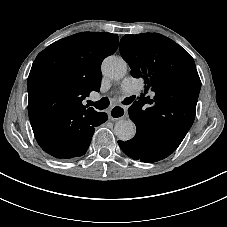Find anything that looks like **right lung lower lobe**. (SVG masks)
<instances>
[{
  "mask_svg": "<svg viewBox=\"0 0 227 227\" xmlns=\"http://www.w3.org/2000/svg\"><path fill=\"white\" fill-rule=\"evenodd\" d=\"M107 115L94 117L88 112L48 118L43 116L32 123L35 138L48 154L59 159L82 156L87 151L95 127L107 120Z\"/></svg>",
  "mask_w": 227,
  "mask_h": 227,
  "instance_id": "obj_1",
  "label": "right lung lower lobe"
}]
</instances>
